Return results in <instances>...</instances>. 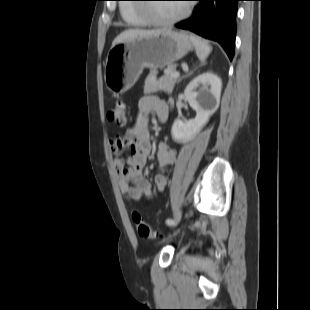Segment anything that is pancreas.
Wrapping results in <instances>:
<instances>
[{
  "instance_id": "obj_1",
  "label": "pancreas",
  "mask_w": 310,
  "mask_h": 310,
  "mask_svg": "<svg viewBox=\"0 0 310 310\" xmlns=\"http://www.w3.org/2000/svg\"><path fill=\"white\" fill-rule=\"evenodd\" d=\"M175 70L176 66H169L165 70V75L159 80L156 78V71H151L145 80L144 93L149 94L158 91H164L168 94H171L177 79L171 78L170 75L174 73Z\"/></svg>"
}]
</instances>
